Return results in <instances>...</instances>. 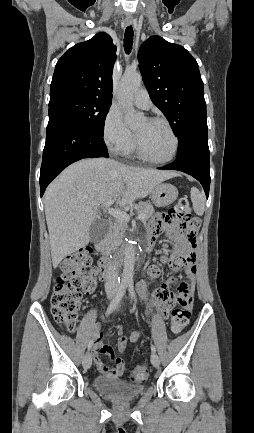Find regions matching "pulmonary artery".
<instances>
[{
    "instance_id": "1",
    "label": "pulmonary artery",
    "mask_w": 254,
    "mask_h": 433,
    "mask_svg": "<svg viewBox=\"0 0 254 433\" xmlns=\"http://www.w3.org/2000/svg\"><path fill=\"white\" fill-rule=\"evenodd\" d=\"M133 102L135 104V106H137L140 109H144L147 110L150 108L151 106V100L149 97V94L147 92L146 89H139L134 97H133Z\"/></svg>"
}]
</instances>
